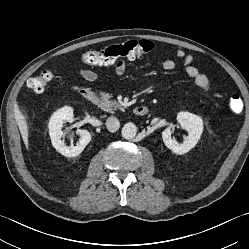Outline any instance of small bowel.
Returning <instances> with one entry per match:
<instances>
[{
	"mask_svg": "<svg viewBox=\"0 0 249 249\" xmlns=\"http://www.w3.org/2000/svg\"><path fill=\"white\" fill-rule=\"evenodd\" d=\"M176 57L181 61L183 65L184 73L193 79L194 83L200 89L202 93H207L210 90V81L209 78L200 70L195 67L193 63V57L190 54H187L184 50L179 49L176 52ZM177 66L175 60L168 59L161 63L160 68L166 71L174 70ZM126 71V63L123 60H119L115 64V72L117 75H123ZM80 76L86 81H94L98 78V74L93 69L81 66L79 68Z\"/></svg>",
	"mask_w": 249,
	"mask_h": 249,
	"instance_id": "1",
	"label": "small bowel"
}]
</instances>
